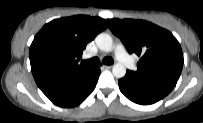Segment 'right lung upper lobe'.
<instances>
[{
    "label": "right lung upper lobe",
    "mask_w": 203,
    "mask_h": 123,
    "mask_svg": "<svg viewBox=\"0 0 203 123\" xmlns=\"http://www.w3.org/2000/svg\"><path fill=\"white\" fill-rule=\"evenodd\" d=\"M106 28L104 19L86 15L55 19L45 24L30 46L33 76L88 68L78 64L82 52L87 43Z\"/></svg>",
    "instance_id": "right-lung-upper-lobe-1"
}]
</instances>
